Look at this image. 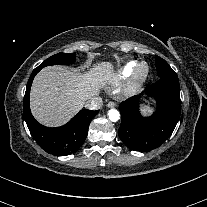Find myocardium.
I'll use <instances>...</instances> for the list:
<instances>
[{"label":"myocardium","mask_w":207,"mask_h":207,"mask_svg":"<svg viewBox=\"0 0 207 207\" xmlns=\"http://www.w3.org/2000/svg\"><path fill=\"white\" fill-rule=\"evenodd\" d=\"M149 75V66L145 62H137L132 68V76L130 79V90L135 91L141 87L147 80Z\"/></svg>","instance_id":"f54148a6"}]
</instances>
